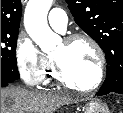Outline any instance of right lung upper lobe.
<instances>
[{
  "mask_svg": "<svg viewBox=\"0 0 123 113\" xmlns=\"http://www.w3.org/2000/svg\"><path fill=\"white\" fill-rule=\"evenodd\" d=\"M21 0H1V31L19 30Z\"/></svg>",
  "mask_w": 123,
  "mask_h": 113,
  "instance_id": "1",
  "label": "right lung upper lobe"
}]
</instances>
